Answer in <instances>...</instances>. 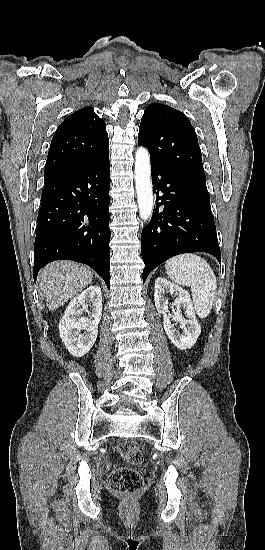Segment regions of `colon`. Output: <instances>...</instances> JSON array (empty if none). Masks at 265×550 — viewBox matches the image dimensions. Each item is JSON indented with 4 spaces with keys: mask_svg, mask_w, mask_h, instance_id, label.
<instances>
[{
    "mask_svg": "<svg viewBox=\"0 0 265 550\" xmlns=\"http://www.w3.org/2000/svg\"><path fill=\"white\" fill-rule=\"evenodd\" d=\"M117 452L122 459L132 465H141L143 455L135 442H123L117 446ZM109 488L116 494L130 496L139 492L143 486L141 474L129 467L113 470L108 480Z\"/></svg>",
    "mask_w": 265,
    "mask_h": 550,
    "instance_id": "obj_1",
    "label": "colon"
}]
</instances>
